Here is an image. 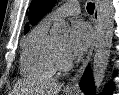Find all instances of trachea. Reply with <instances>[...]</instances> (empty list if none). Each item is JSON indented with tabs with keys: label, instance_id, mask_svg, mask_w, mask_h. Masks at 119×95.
Masks as SVG:
<instances>
[{
	"label": "trachea",
	"instance_id": "trachea-1",
	"mask_svg": "<svg viewBox=\"0 0 119 95\" xmlns=\"http://www.w3.org/2000/svg\"><path fill=\"white\" fill-rule=\"evenodd\" d=\"M94 8H95L94 3L90 2V3L87 4V11H88V13L93 14Z\"/></svg>",
	"mask_w": 119,
	"mask_h": 95
}]
</instances>
